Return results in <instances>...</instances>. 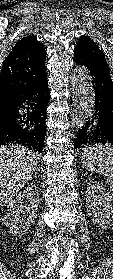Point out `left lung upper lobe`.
Returning <instances> with one entry per match:
<instances>
[{
	"label": "left lung upper lobe",
	"mask_w": 113,
	"mask_h": 279,
	"mask_svg": "<svg viewBox=\"0 0 113 279\" xmlns=\"http://www.w3.org/2000/svg\"><path fill=\"white\" fill-rule=\"evenodd\" d=\"M74 55L88 64L97 66L110 75L109 66L103 52L89 37L83 35L79 38L74 49Z\"/></svg>",
	"instance_id": "left-lung-upper-lobe-1"
}]
</instances>
